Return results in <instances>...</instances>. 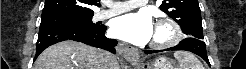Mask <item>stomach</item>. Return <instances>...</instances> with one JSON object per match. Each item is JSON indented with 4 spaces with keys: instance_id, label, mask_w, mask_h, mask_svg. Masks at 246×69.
Returning <instances> with one entry per match:
<instances>
[{
    "instance_id": "1",
    "label": "stomach",
    "mask_w": 246,
    "mask_h": 69,
    "mask_svg": "<svg viewBox=\"0 0 246 69\" xmlns=\"http://www.w3.org/2000/svg\"><path fill=\"white\" fill-rule=\"evenodd\" d=\"M138 69H176L172 62L166 57H157L151 63L135 64Z\"/></svg>"
}]
</instances>
